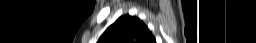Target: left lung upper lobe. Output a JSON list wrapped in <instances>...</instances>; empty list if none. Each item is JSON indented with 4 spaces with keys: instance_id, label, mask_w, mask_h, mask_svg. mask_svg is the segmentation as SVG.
Returning <instances> with one entry per match:
<instances>
[{
    "instance_id": "1",
    "label": "left lung upper lobe",
    "mask_w": 256,
    "mask_h": 43,
    "mask_svg": "<svg viewBox=\"0 0 256 43\" xmlns=\"http://www.w3.org/2000/svg\"><path fill=\"white\" fill-rule=\"evenodd\" d=\"M97 43H156V41L140 19L124 15L107 28Z\"/></svg>"
}]
</instances>
